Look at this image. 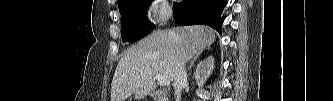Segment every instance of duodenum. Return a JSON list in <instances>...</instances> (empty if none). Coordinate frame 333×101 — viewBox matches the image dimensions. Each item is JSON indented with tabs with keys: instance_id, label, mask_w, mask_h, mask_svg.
<instances>
[{
	"instance_id": "1",
	"label": "duodenum",
	"mask_w": 333,
	"mask_h": 101,
	"mask_svg": "<svg viewBox=\"0 0 333 101\" xmlns=\"http://www.w3.org/2000/svg\"><path fill=\"white\" fill-rule=\"evenodd\" d=\"M152 96L156 101H168V97L164 91H155Z\"/></svg>"
}]
</instances>
